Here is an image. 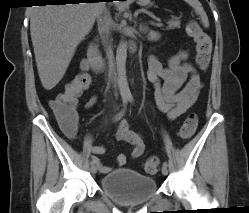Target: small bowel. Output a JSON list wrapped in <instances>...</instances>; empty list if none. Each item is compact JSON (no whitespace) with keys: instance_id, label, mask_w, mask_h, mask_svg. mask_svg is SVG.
Listing matches in <instances>:
<instances>
[{"instance_id":"c3829d8e","label":"small bowel","mask_w":249,"mask_h":213,"mask_svg":"<svg viewBox=\"0 0 249 213\" xmlns=\"http://www.w3.org/2000/svg\"><path fill=\"white\" fill-rule=\"evenodd\" d=\"M158 36L151 35V39L156 41ZM188 52L179 51L172 56L168 64L164 66L156 56L150 55L148 59L147 77L155 87V102L157 108L167 114L170 121H174L184 114L196 101L202 87V81L193 65L188 62ZM97 101L96 96H92L85 104L86 108H91ZM67 136L75 135L77 129L76 122L71 126L61 123ZM115 136L120 141H125L132 145L131 157L140 158L145 151V142L142 135L131 130L127 120H121L116 128ZM93 154L92 159L97 161V166L102 173H108L111 169L101 164L99 155L105 152L101 145H93L90 148ZM127 157L119 154L116 162L119 166L126 163Z\"/></svg>"}]
</instances>
